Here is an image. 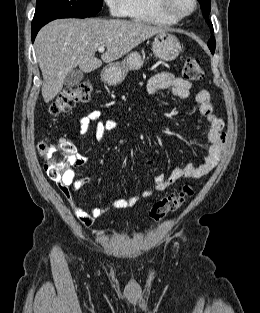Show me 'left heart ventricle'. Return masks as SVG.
Wrapping results in <instances>:
<instances>
[{
  "label": "left heart ventricle",
  "mask_w": 260,
  "mask_h": 313,
  "mask_svg": "<svg viewBox=\"0 0 260 313\" xmlns=\"http://www.w3.org/2000/svg\"><path fill=\"white\" fill-rule=\"evenodd\" d=\"M170 9L176 13L181 14L191 8V0H168Z\"/></svg>",
  "instance_id": "obj_1"
}]
</instances>
